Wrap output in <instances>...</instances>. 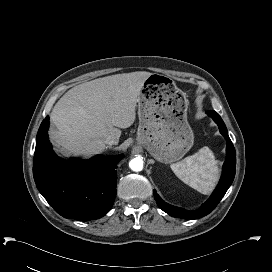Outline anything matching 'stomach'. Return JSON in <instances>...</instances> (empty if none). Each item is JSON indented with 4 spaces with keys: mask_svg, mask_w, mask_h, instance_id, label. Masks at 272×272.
I'll return each instance as SVG.
<instances>
[{
    "mask_svg": "<svg viewBox=\"0 0 272 272\" xmlns=\"http://www.w3.org/2000/svg\"><path fill=\"white\" fill-rule=\"evenodd\" d=\"M137 141L162 163L180 160L193 146L185 95L168 76L153 73L138 96Z\"/></svg>",
    "mask_w": 272,
    "mask_h": 272,
    "instance_id": "obj_1",
    "label": "stomach"
}]
</instances>
